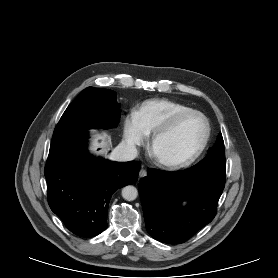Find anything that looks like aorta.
<instances>
[{"instance_id":"aorta-1","label":"aorta","mask_w":278,"mask_h":278,"mask_svg":"<svg viewBox=\"0 0 278 278\" xmlns=\"http://www.w3.org/2000/svg\"><path fill=\"white\" fill-rule=\"evenodd\" d=\"M138 196V190L132 186L128 185L122 189V197L127 201H133Z\"/></svg>"}]
</instances>
